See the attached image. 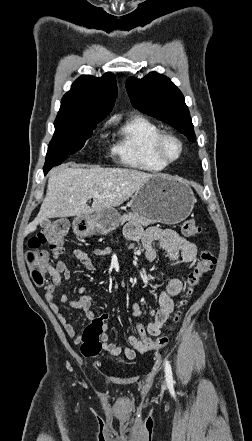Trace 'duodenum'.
Segmentation results:
<instances>
[{
  "label": "duodenum",
  "mask_w": 252,
  "mask_h": 441,
  "mask_svg": "<svg viewBox=\"0 0 252 441\" xmlns=\"http://www.w3.org/2000/svg\"><path fill=\"white\" fill-rule=\"evenodd\" d=\"M80 235L88 234L90 231V223L87 219H83L81 222L77 223Z\"/></svg>",
  "instance_id": "duodenum-1"
}]
</instances>
